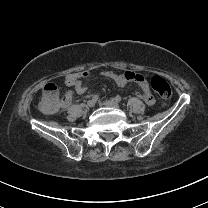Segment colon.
<instances>
[{
	"instance_id": "1",
	"label": "colon",
	"mask_w": 208,
	"mask_h": 208,
	"mask_svg": "<svg viewBox=\"0 0 208 208\" xmlns=\"http://www.w3.org/2000/svg\"><path fill=\"white\" fill-rule=\"evenodd\" d=\"M151 87L160 97L159 106L165 108L169 104L172 97V90L167 80L161 76H155L150 81ZM44 98L38 102L40 110L47 114H52L56 111L59 104L60 90L54 83H49L42 89Z\"/></svg>"
}]
</instances>
